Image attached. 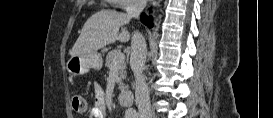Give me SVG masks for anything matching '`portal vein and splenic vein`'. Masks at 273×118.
I'll use <instances>...</instances> for the list:
<instances>
[{"mask_svg":"<svg viewBox=\"0 0 273 118\" xmlns=\"http://www.w3.org/2000/svg\"><path fill=\"white\" fill-rule=\"evenodd\" d=\"M116 60L117 61H120V60H125V55L122 53V52H119L117 54V57H116ZM115 66H117V63H114L110 68H114Z\"/></svg>","mask_w":273,"mask_h":118,"instance_id":"portal-vein-and-splenic-vein-1","label":"portal vein and splenic vein"}]
</instances>
